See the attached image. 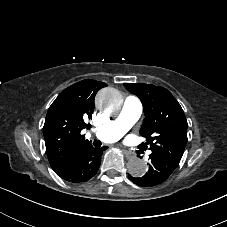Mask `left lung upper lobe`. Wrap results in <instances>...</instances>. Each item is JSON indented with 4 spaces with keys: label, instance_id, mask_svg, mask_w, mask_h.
<instances>
[{
    "label": "left lung upper lobe",
    "instance_id": "obj_1",
    "mask_svg": "<svg viewBox=\"0 0 227 227\" xmlns=\"http://www.w3.org/2000/svg\"><path fill=\"white\" fill-rule=\"evenodd\" d=\"M143 104L145 118L140 134L142 145L153 154L162 155L179 164L187 143V120L178 101L165 88L149 84L125 83Z\"/></svg>",
    "mask_w": 227,
    "mask_h": 227
}]
</instances>
